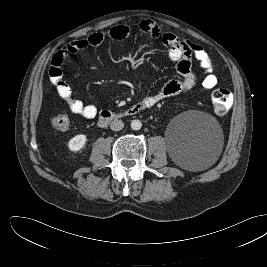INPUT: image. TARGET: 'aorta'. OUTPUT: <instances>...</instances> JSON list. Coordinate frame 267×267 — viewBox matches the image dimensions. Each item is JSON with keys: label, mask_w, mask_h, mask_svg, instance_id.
Instances as JSON below:
<instances>
[{"label": "aorta", "mask_w": 267, "mask_h": 267, "mask_svg": "<svg viewBox=\"0 0 267 267\" xmlns=\"http://www.w3.org/2000/svg\"><path fill=\"white\" fill-rule=\"evenodd\" d=\"M141 127H142V123H141L140 120H133V121L131 122V128H132L133 130H140Z\"/></svg>", "instance_id": "762f6f07"}]
</instances>
